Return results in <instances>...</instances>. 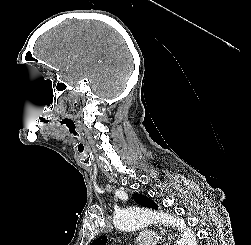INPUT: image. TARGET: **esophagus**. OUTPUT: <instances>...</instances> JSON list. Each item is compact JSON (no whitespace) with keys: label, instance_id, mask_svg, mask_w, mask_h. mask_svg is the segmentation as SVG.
I'll list each match as a JSON object with an SVG mask.
<instances>
[{"label":"esophagus","instance_id":"1","mask_svg":"<svg viewBox=\"0 0 251 245\" xmlns=\"http://www.w3.org/2000/svg\"><path fill=\"white\" fill-rule=\"evenodd\" d=\"M158 228H159L160 232H161L162 234H164V235L166 234V236H167V238H168V240H167V242L165 243V245H170V244H171V241H172V235H171V233L167 232L165 228H162V227H158Z\"/></svg>","mask_w":251,"mask_h":245}]
</instances>
